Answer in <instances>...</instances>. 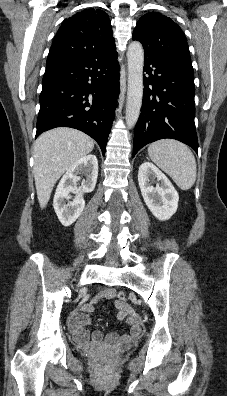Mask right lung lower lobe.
Returning <instances> with one entry per match:
<instances>
[{"instance_id":"right-lung-lower-lobe-1","label":"right lung lower lobe","mask_w":227,"mask_h":396,"mask_svg":"<svg viewBox=\"0 0 227 396\" xmlns=\"http://www.w3.org/2000/svg\"><path fill=\"white\" fill-rule=\"evenodd\" d=\"M118 94L115 47L46 66L36 137L55 127L75 128L95 139L104 155Z\"/></svg>"}]
</instances>
